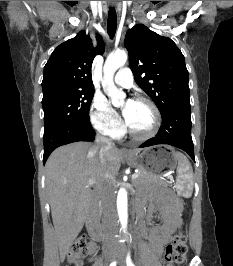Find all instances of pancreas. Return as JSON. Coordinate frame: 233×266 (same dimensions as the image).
<instances>
[{"label":"pancreas","instance_id":"obj_1","mask_svg":"<svg viewBox=\"0 0 233 266\" xmlns=\"http://www.w3.org/2000/svg\"><path fill=\"white\" fill-rule=\"evenodd\" d=\"M150 183L163 184L164 181L162 178H160L157 175L150 174L148 172L141 171V170L138 173V177L136 179H134V181H133V184L135 187H140V186L150 184Z\"/></svg>","mask_w":233,"mask_h":266}]
</instances>
